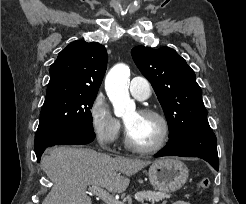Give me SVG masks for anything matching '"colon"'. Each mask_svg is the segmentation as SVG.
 I'll list each match as a JSON object with an SVG mask.
<instances>
[{"label": "colon", "mask_w": 246, "mask_h": 204, "mask_svg": "<svg viewBox=\"0 0 246 204\" xmlns=\"http://www.w3.org/2000/svg\"><path fill=\"white\" fill-rule=\"evenodd\" d=\"M197 187L199 190H207L210 187V180L208 178H202L198 181Z\"/></svg>", "instance_id": "obj_1"}]
</instances>
